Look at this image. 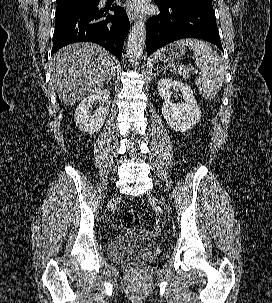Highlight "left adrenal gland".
<instances>
[{"instance_id":"left-adrenal-gland-1","label":"left adrenal gland","mask_w":272,"mask_h":303,"mask_svg":"<svg viewBox=\"0 0 272 303\" xmlns=\"http://www.w3.org/2000/svg\"><path fill=\"white\" fill-rule=\"evenodd\" d=\"M159 73H161V71H159L157 67L155 75H158Z\"/></svg>"}]
</instances>
